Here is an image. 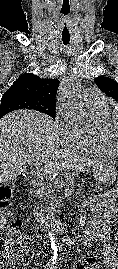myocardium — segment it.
Wrapping results in <instances>:
<instances>
[{"mask_svg": "<svg viewBox=\"0 0 118 269\" xmlns=\"http://www.w3.org/2000/svg\"><path fill=\"white\" fill-rule=\"evenodd\" d=\"M118 122V112L110 113L101 120V133L103 138L109 143L111 148L118 154V142L115 140L112 132L115 124Z\"/></svg>", "mask_w": 118, "mask_h": 269, "instance_id": "obj_1", "label": "myocardium"}]
</instances>
